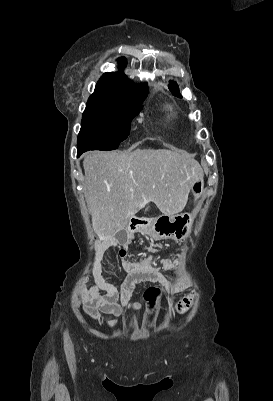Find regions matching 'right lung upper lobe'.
I'll use <instances>...</instances> for the list:
<instances>
[{"label":"right lung upper lobe","instance_id":"cb5924a9","mask_svg":"<svg viewBox=\"0 0 273 401\" xmlns=\"http://www.w3.org/2000/svg\"><path fill=\"white\" fill-rule=\"evenodd\" d=\"M118 62L122 67L127 64L124 57L120 58ZM147 94V84L135 86L122 71L108 72L100 78L95 92L88 100L137 108L141 107Z\"/></svg>","mask_w":273,"mask_h":401}]
</instances>
